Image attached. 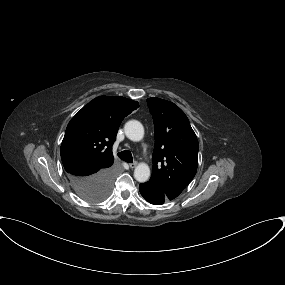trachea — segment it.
<instances>
[{
	"instance_id": "trachea-1",
	"label": "trachea",
	"mask_w": 285,
	"mask_h": 285,
	"mask_svg": "<svg viewBox=\"0 0 285 285\" xmlns=\"http://www.w3.org/2000/svg\"><path fill=\"white\" fill-rule=\"evenodd\" d=\"M118 157L122 159L123 161H126L128 163L133 162V157L130 151L124 150L118 153Z\"/></svg>"
}]
</instances>
